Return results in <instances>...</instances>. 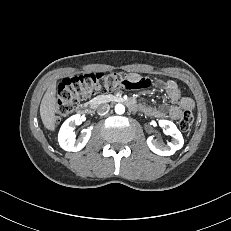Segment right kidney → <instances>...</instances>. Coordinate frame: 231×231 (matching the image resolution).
Segmentation results:
<instances>
[{"mask_svg":"<svg viewBox=\"0 0 231 231\" xmlns=\"http://www.w3.org/2000/svg\"><path fill=\"white\" fill-rule=\"evenodd\" d=\"M80 115H73L68 118L60 128L58 141L61 148L66 151H80L88 142L91 136V128L84 129L78 139H75V125L80 123Z\"/></svg>","mask_w":231,"mask_h":231,"instance_id":"obj_1","label":"right kidney"}]
</instances>
